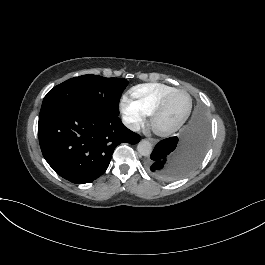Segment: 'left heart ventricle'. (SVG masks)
I'll return each instance as SVG.
<instances>
[{
  "label": "left heart ventricle",
  "instance_id": "left-heart-ventricle-1",
  "mask_svg": "<svg viewBox=\"0 0 265 265\" xmlns=\"http://www.w3.org/2000/svg\"><path fill=\"white\" fill-rule=\"evenodd\" d=\"M188 105V99L184 93L173 95L166 103L160 122L162 125H172L177 122L185 113Z\"/></svg>",
  "mask_w": 265,
  "mask_h": 265
}]
</instances>
